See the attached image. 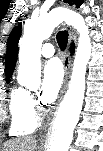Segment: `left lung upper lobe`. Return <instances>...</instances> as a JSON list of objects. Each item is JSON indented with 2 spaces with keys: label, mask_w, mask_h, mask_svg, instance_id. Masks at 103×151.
<instances>
[{
  "label": "left lung upper lobe",
  "mask_w": 103,
  "mask_h": 151,
  "mask_svg": "<svg viewBox=\"0 0 103 151\" xmlns=\"http://www.w3.org/2000/svg\"><path fill=\"white\" fill-rule=\"evenodd\" d=\"M64 2L70 3L71 5H72V4H76V6L79 7L80 4L83 3V0H65Z\"/></svg>",
  "instance_id": "left-lung-upper-lobe-1"
}]
</instances>
